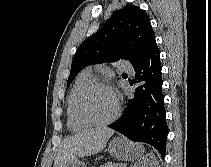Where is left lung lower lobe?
<instances>
[{
  "label": "left lung lower lobe",
  "mask_w": 211,
  "mask_h": 167,
  "mask_svg": "<svg viewBox=\"0 0 211 167\" xmlns=\"http://www.w3.org/2000/svg\"><path fill=\"white\" fill-rule=\"evenodd\" d=\"M134 96L127 100L121 118L109 125L135 142L152 145L164 157L168 126L162 93V66L158 47L141 64L133 67Z\"/></svg>",
  "instance_id": "left-lung-lower-lobe-1"
}]
</instances>
